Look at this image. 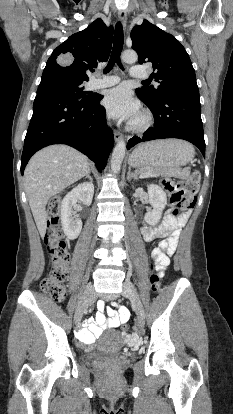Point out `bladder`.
Segmentation results:
<instances>
[{
  "label": "bladder",
  "mask_w": 233,
  "mask_h": 414,
  "mask_svg": "<svg viewBox=\"0 0 233 414\" xmlns=\"http://www.w3.org/2000/svg\"><path fill=\"white\" fill-rule=\"evenodd\" d=\"M117 349L115 347H105L102 348L98 351L86 354L83 356L85 361H94V360H98L101 359L107 355H111L116 353Z\"/></svg>",
  "instance_id": "31cf9c89"
}]
</instances>
